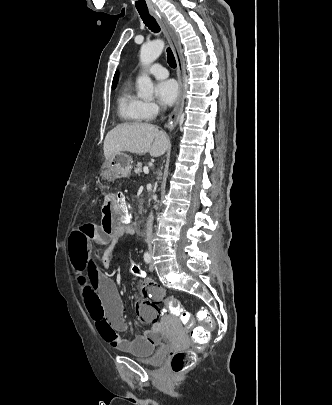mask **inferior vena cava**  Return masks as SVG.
<instances>
[{"instance_id":"obj_1","label":"inferior vena cava","mask_w":332,"mask_h":405,"mask_svg":"<svg viewBox=\"0 0 332 405\" xmlns=\"http://www.w3.org/2000/svg\"><path fill=\"white\" fill-rule=\"evenodd\" d=\"M152 223H153V213L151 212L148 218L149 229H151Z\"/></svg>"}]
</instances>
